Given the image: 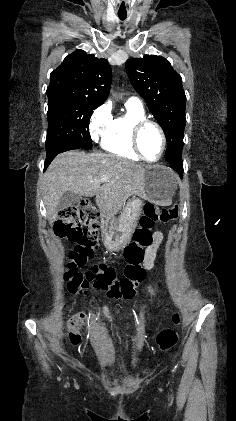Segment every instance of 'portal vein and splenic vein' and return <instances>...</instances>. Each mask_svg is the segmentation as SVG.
<instances>
[{
  "instance_id": "18ae733b",
  "label": "portal vein and splenic vein",
  "mask_w": 236,
  "mask_h": 421,
  "mask_svg": "<svg viewBox=\"0 0 236 421\" xmlns=\"http://www.w3.org/2000/svg\"><path fill=\"white\" fill-rule=\"evenodd\" d=\"M100 180H102V182H106V180H109L108 176H102V178H100Z\"/></svg>"
}]
</instances>
